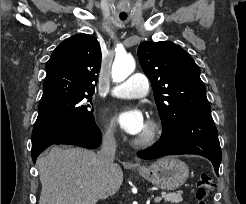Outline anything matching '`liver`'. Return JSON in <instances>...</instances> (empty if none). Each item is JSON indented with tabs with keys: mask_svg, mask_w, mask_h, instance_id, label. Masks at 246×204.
<instances>
[{
	"mask_svg": "<svg viewBox=\"0 0 246 204\" xmlns=\"http://www.w3.org/2000/svg\"><path fill=\"white\" fill-rule=\"evenodd\" d=\"M42 190L39 204H96L123 182L118 164L106 175L94 151L52 147L37 160Z\"/></svg>",
	"mask_w": 246,
	"mask_h": 204,
	"instance_id": "1",
	"label": "liver"
}]
</instances>
